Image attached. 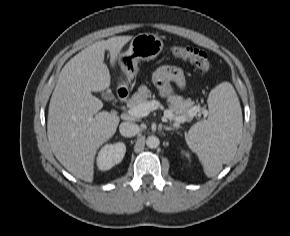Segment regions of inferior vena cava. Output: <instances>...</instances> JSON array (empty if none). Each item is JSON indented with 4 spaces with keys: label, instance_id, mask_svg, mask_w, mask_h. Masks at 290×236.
Listing matches in <instances>:
<instances>
[{
    "label": "inferior vena cava",
    "instance_id": "602c4592",
    "mask_svg": "<svg viewBox=\"0 0 290 236\" xmlns=\"http://www.w3.org/2000/svg\"><path fill=\"white\" fill-rule=\"evenodd\" d=\"M119 131L124 137H133L139 132V127L135 123L122 122L119 126Z\"/></svg>",
    "mask_w": 290,
    "mask_h": 236
}]
</instances>
